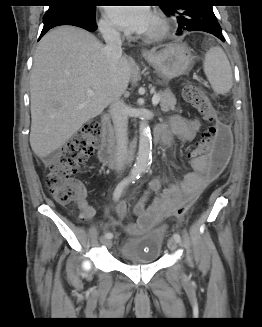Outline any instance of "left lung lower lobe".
<instances>
[{"label": "left lung lower lobe", "instance_id": "left-lung-lower-lobe-1", "mask_svg": "<svg viewBox=\"0 0 262 327\" xmlns=\"http://www.w3.org/2000/svg\"><path fill=\"white\" fill-rule=\"evenodd\" d=\"M217 38L221 39L223 42L225 41V39L223 38L222 34H217L215 35Z\"/></svg>", "mask_w": 262, "mask_h": 327}]
</instances>
